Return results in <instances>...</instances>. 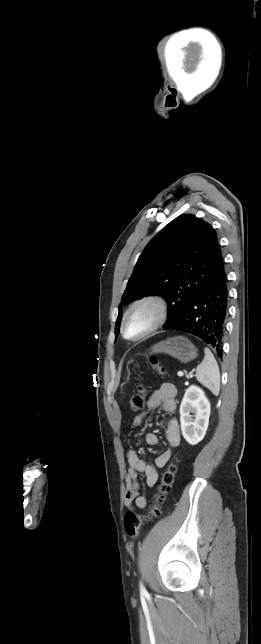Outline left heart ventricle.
<instances>
[{"instance_id": "left-heart-ventricle-1", "label": "left heart ventricle", "mask_w": 261, "mask_h": 644, "mask_svg": "<svg viewBox=\"0 0 261 644\" xmlns=\"http://www.w3.org/2000/svg\"><path fill=\"white\" fill-rule=\"evenodd\" d=\"M155 312L152 307L143 305L137 307L129 316L126 333L135 337L144 332L153 322Z\"/></svg>"}]
</instances>
